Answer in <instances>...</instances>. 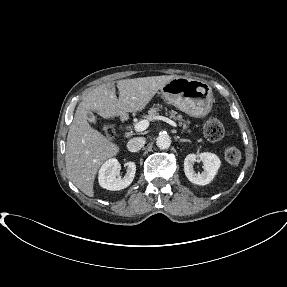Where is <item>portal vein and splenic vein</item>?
Listing matches in <instances>:
<instances>
[{"label":"portal vein and splenic vein","mask_w":287,"mask_h":287,"mask_svg":"<svg viewBox=\"0 0 287 287\" xmlns=\"http://www.w3.org/2000/svg\"><path fill=\"white\" fill-rule=\"evenodd\" d=\"M153 119L162 120V121H165L168 124L172 125L173 127H177V124L174 121H172L171 119L166 118L164 116H155ZM151 120L152 119H143V120L139 121L138 123H136L134 125L135 131L142 132V131L146 130L149 126V121H151Z\"/></svg>","instance_id":"18ae733b"}]
</instances>
